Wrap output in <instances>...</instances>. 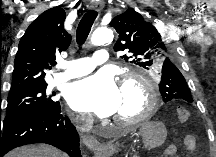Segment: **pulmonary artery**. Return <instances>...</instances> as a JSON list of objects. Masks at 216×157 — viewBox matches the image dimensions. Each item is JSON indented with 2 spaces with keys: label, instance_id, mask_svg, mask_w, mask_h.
<instances>
[{
  "label": "pulmonary artery",
  "instance_id": "obj_1",
  "mask_svg": "<svg viewBox=\"0 0 216 157\" xmlns=\"http://www.w3.org/2000/svg\"><path fill=\"white\" fill-rule=\"evenodd\" d=\"M109 59V53L105 49H99L92 56L67 61L63 65V72L53 77L55 83H62L73 78L83 76L93 71L96 66L104 64Z\"/></svg>",
  "mask_w": 216,
  "mask_h": 157
}]
</instances>
